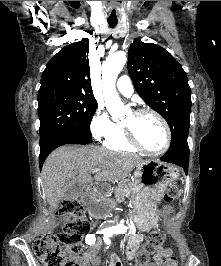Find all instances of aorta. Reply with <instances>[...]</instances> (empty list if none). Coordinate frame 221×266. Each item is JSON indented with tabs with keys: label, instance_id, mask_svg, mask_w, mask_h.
<instances>
[{
	"label": "aorta",
	"instance_id": "1",
	"mask_svg": "<svg viewBox=\"0 0 221 266\" xmlns=\"http://www.w3.org/2000/svg\"><path fill=\"white\" fill-rule=\"evenodd\" d=\"M126 53L123 51H117L110 55L102 66V82H103V95L105 105L113 119H118L125 114V107L119 98L116 91L115 83L118 74L126 64ZM125 225H114L110 227L112 231H124L127 230Z\"/></svg>",
	"mask_w": 221,
	"mask_h": 266
}]
</instances>
